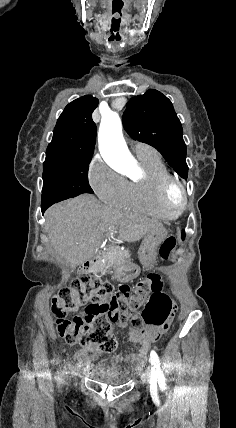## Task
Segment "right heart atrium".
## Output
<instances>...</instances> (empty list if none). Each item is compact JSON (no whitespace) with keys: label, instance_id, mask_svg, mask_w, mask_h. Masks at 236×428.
<instances>
[{"label":"right heart atrium","instance_id":"obj_1","mask_svg":"<svg viewBox=\"0 0 236 428\" xmlns=\"http://www.w3.org/2000/svg\"><path fill=\"white\" fill-rule=\"evenodd\" d=\"M88 181L98 200L105 206H121L126 193V180L99 155L89 164Z\"/></svg>","mask_w":236,"mask_h":428}]
</instances>
